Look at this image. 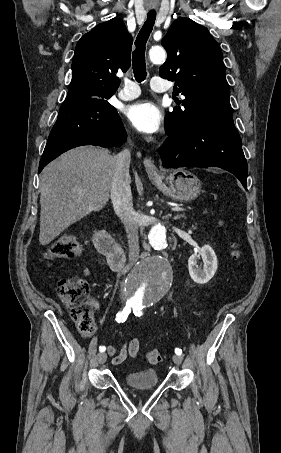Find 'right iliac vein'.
Instances as JSON below:
<instances>
[{
    "label": "right iliac vein",
    "instance_id": "obj_1",
    "mask_svg": "<svg viewBox=\"0 0 281 453\" xmlns=\"http://www.w3.org/2000/svg\"><path fill=\"white\" fill-rule=\"evenodd\" d=\"M106 355H107L106 353H100L99 354V358L97 359V361H99L101 363V365H105L104 363L107 360Z\"/></svg>",
    "mask_w": 281,
    "mask_h": 453
}]
</instances>
